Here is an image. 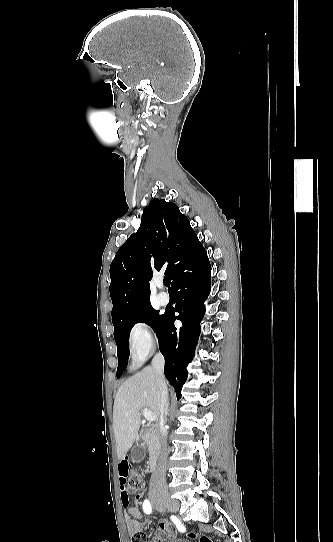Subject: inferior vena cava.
Returning <instances> with one entry per match:
<instances>
[{"instance_id": "obj_1", "label": "inferior vena cava", "mask_w": 333, "mask_h": 542, "mask_svg": "<svg viewBox=\"0 0 333 542\" xmlns=\"http://www.w3.org/2000/svg\"><path fill=\"white\" fill-rule=\"evenodd\" d=\"M165 360L162 354H156L152 360V368L156 374V382L160 394V422H159V438L161 440L162 448L160 456L158 458V464L155 470H152V476L150 480V492L159 490V488H165L166 486V464H167V448L166 440L164 438V426L167 422L166 404L168 398L166 380L164 376Z\"/></svg>"}]
</instances>
